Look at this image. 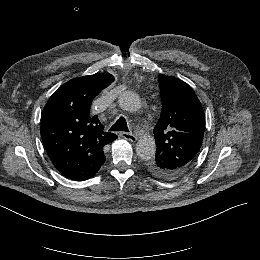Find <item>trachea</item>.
Here are the masks:
<instances>
[{
	"label": "trachea",
	"mask_w": 260,
	"mask_h": 260,
	"mask_svg": "<svg viewBox=\"0 0 260 260\" xmlns=\"http://www.w3.org/2000/svg\"><path fill=\"white\" fill-rule=\"evenodd\" d=\"M109 131H128V126L124 117L118 118V120L111 126Z\"/></svg>",
	"instance_id": "obj_1"
}]
</instances>
